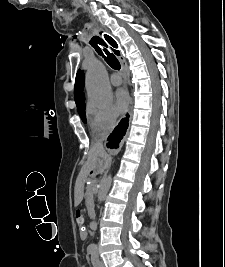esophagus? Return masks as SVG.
<instances>
[{"instance_id":"34e87169","label":"esophagus","mask_w":225,"mask_h":267,"mask_svg":"<svg viewBox=\"0 0 225 267\" xmlns=\"http://www.w3.org/2000/svg\"><path fill=\"white\" fill-rule=\"evenodd\" d=\"M102 37H103V39L108 43V41L110 42V38L109 37H111L107 32H102ZM112 38V37H111ZM119 59H120V62H121V65H122V69H123V71H124V73H125V76H126V78H127V69H126V65H125V63H124V60L121 58V57H119ZM129 113H131V108L129 109Z\"/></svg>"}]
</instances>
